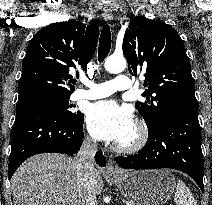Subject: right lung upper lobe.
<instances>
[{"mask_svg":"<svg viewBox=\"0 0 212 205\" xmlns=\"http://www.w3.org/2000/svg\"><path fill=\"white\" fill-rule=\"evenodd\" d=\"M98 23L86 26L70 20L52 23L38 31L30 40L22 64L19 97L48 92L70 94L74 91V69L87 70L95 53Z\"/></svg>","mask_w":212,"mask_h":205,"instance_id":"cb5924a9","label":"right lung upper lobe"}]
</instances>
